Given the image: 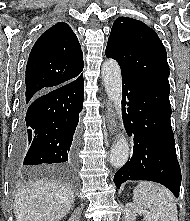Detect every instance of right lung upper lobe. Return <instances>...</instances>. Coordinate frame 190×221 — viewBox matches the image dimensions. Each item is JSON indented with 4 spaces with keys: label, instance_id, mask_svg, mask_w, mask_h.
Returning <instances> with one entry per match:
<instances>
[{
    "label": "right lung upper lobe",
    "instance_id": "cb5924a9",
    "mask_svg": "<svg viewBox=\"0 0 190 221\" xmlns=\"http://www.w3.org/2000/svg\"><path fill=\"white\" fill-rule=\"evenodd\" d=\"M82 70L83 53L76 35L68 24H55L38 38L30 52L23 100L75 80Z\"/></svg>",
    "mask_w": 190,
    "mask_h": 221
}]
</instances>
